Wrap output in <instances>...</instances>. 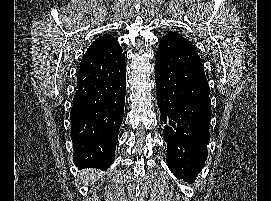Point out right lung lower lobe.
I'll return each instance as SVG.
<instances>
[{
  "mask_svg": "<svg viewBox=\"0 0 271 201\" xmlns=\"http://www.w3.org/2000/svg\"><path fill=\"white\" fill-rule=\"evenodd\" d=\"M104 36L87 49L77 77L70 119L73 162L79 168L110 167L123 120L125 55L115 38Z\"/></svg>",
  "mask_w": 271,
  "mask_h": 201,
  "instance_id": "right-lung-lower-lobe-1",
  "label": "right lung lower lobe"
}]
</instances>
